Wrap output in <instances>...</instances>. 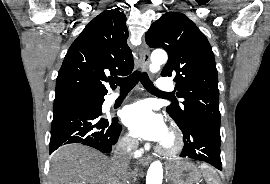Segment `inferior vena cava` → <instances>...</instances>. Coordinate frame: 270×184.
I'll return each instance as SVG.
<instances>
[{
  "instance_id": "1",
  "label": "inferior vena cava",
  "mask_w": 270,
  "mask_h": 184,
  "mask_svg": "<svg viewBox=\"0 0 270 184\" xmlns=\"http://www.w3.org/2000/svg\"><path fill=\"white\" fill-rule=\"evenodd\" d=\"M138 142L134 139H124L120 141L115 149L111 163L121 172L128 168L131 151L137 148Z\"/></svg>"
}]
</instances>
